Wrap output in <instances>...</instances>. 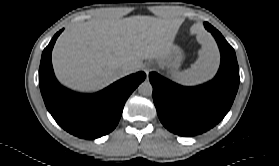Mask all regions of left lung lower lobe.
Returning <instances> with one entry per match:
<instances>
[{
	"label": "left lung lower lobe",
	"mask_w": 279,
	"mask_h": 166,
	"mask_svg": "<svg viewBox=\"0 0 279 166\" xmlns=\"http://www.w3.org/2000/svg\"><path fill=\"white\" fill-rule=\"evenodd\" d=\"M221 51V66L216 77L197 87H184L156 72L149 74L153 100L162 124L181 136L201 134L218 124L232 106L239 86V67L232 46L208 22Z\"/></svg>",
	"instance_id": "obj_1"
}]
</instances>
